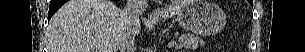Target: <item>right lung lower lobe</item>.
<instances>
[{"mask_svg":"<svg viewBox=\"0 0 305 52\" xmlns=\"http://www.w3.org/2000/svg\"><path fill=\"white\" fill-rule=\"evenodd\" d=\"M117 1V0H114ZM66 2V0H51L48 13V20L51 19L53 14Z\"/></svg>","mask_w":305,"mask_h":52,"instance_id":"obj_1","label":"right lung lower lobe"}]
</instances>
